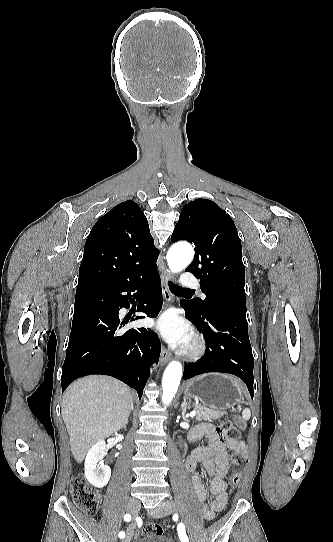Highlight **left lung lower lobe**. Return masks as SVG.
Wrapping results in <instances>:
<instances>
[{"label": "left lung lower lobe", "mask_w": 333, "mask_h": 542, "mask_svg": "<svg viewBox=\"0 0 333 542\" xmlns=\"http://www.w3.org/2000/svg\"><path fill=\"white\" fill-rule=\"evenodd\" d=\"M180 305L186 311V318L203 333L207 344L201 359L185 365L183 379L208 372L230 373L241 378L253 396L254 358L246 311L222 308L212 315L207 325H201L193 319L185 300Z\"/></svg>", "instance_id": "0a47b994"}]
</instances>
